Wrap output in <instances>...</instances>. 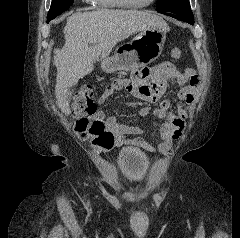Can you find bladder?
Instances as JSON below:
<instances>
[{
	"label": "bladder",
	"mask_w": 240,
	"mask_h": 238,
	"mask_svg": "<svg viewBox=\"0 0 240 238\" xmlns=\"http://www.w3.org/2000/svg\"><path fill=\"white\" fill-rule=\"evenodd\" d=\"M116 164L122 179L137 185L145 181L151 162L144 151L132 146H125L119 150Z\"/></svg>",
	"instance_id": "1"
}]
</instances>
